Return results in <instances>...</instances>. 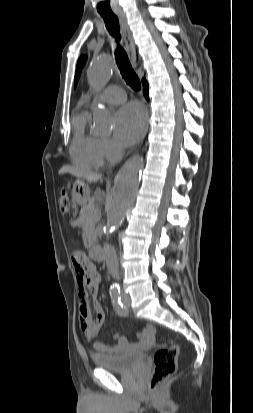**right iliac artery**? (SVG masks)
Instances as JSON below:
<instances>
[{"label":"right iliac artery","mask_w":253,"mask_h":413,"mask_svg":"<svg viewBox=\"0 0 253 413\" xmlns=\"http://www.w3.org/2000/svg\"><path fill=\"white\" fill-rule=\"evenodd\" d=\"M110 296L116 313L120 316H126L128 314V311L121 302L120 289H114L110 291Z\"/></svg>","instance_id":"right-iliac-artery-1"}]
</instances>
